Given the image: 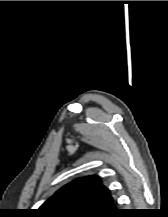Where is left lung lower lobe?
Segmentation results:
<instances>
[{
	"label": "left lung lower lobe",
	"instance_id": "left-lung-lower-lobe-1",
	"mask_svg": "<svg viewBox=\"0 0 168 217\" xmlns=\"http://www.w3.org/2000/svg\"><path fill=\"white\" fill-rule=\"evenodd\" d=\"M122 212L119 211V209H115V204H113V207L109 209L107 212H105L101 217H119Z\"/></svg>",
	"mask_w": 168,
	"mask_h": 217
}]
</instances>
